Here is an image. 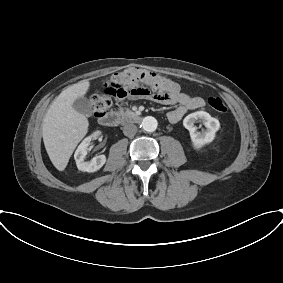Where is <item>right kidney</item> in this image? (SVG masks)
<instances>
[{"mask_svg":"<svg viewBox=\"0 0 283 283\" xmlns=\"http://www.w3.org/2000/svg\"><path fill=\"white\" fill-rule=\"evenodd\" d=\"M101 135L100 131L94 132L91 136L86 137L78 146L74 154L77 168L83 172H95L99 170L106 162L105 155H99L92 158L90 161H85L88 152V147L92 139H97Z\"/></svg>","mask_w":283,"mask_h":283,"instance_id":"1","label":"right kidney"}]
</instances>
